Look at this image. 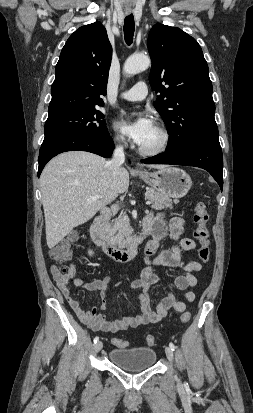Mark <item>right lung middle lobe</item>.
Wrapping results in <instances>:
<instances>
[{"mask_svg":"<svg viewBox=\"0 0 253 413\" xmlns=\"http://www.w3.org/2000/svg\"><path fill=\"white\" fill-rule=\"evenodd\" d=\"M107 132L104 115L96 107L71 109L48 116L43 142L66 137L89 138Z\"/></svg>","mask_w":253,"mask_h":413,"instance_id":"dd1d6c3e","label":"right lung middle lobe"}]
</instances>
